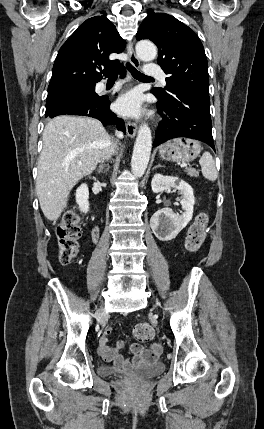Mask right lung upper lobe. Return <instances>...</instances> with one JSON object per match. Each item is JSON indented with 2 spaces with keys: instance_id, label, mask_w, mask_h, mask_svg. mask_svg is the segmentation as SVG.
<instances>
[{
  "instance_id": "obj_1",
  "label": "right lung upper lobe",
  "mask_w": 264,
  "mask_h": 429,
  "mask_svg": "<svg viewBox=\"0 0 264 429\" xmlns=\"http://www.w3.org/2000/svg\"><path fill=\"white\" fill-rule=\"evenodd\" d=\"M86 20L67 39L56 57L48 88L70 84H95L120 65L110 61L111 53H121L126 42L106 13Z\"/></svg>"
}]
</instances>
